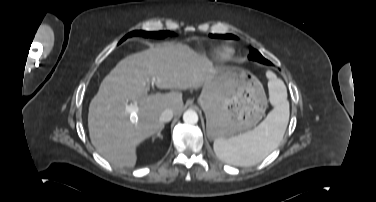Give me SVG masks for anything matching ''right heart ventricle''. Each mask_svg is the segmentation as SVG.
Returning <instances> with one entry per match:
<instances>
[{
	"instance_id": "obj_1",
	"label": "right heart ventricle",
	"mask_w": 376,
	"mask_h": 202,
	"mask_svg": "<svg viewBox=\"0 0 376 202\" xmlns=\"http://www.w3.org/2000/svg\"><path fill=\"white\" fill-rule=\"evenodd\" d=\"M231 53H232V51L230 49H223L222 52H221V54L223 56H229V55H231Z\"/></svg>"
}]
</instances>
